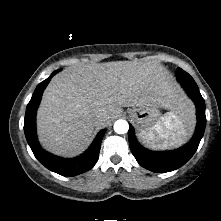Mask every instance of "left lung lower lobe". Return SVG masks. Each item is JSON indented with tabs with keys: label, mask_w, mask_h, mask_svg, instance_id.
<instances>
[{
	"label": "left lung lower lobe",
	"mask_w": 221,
	"mask_h": 221,
	"mask_svg": "<svg viewBox=\"0 0 221 221\" xmlns=\"http://www.w3.org/2000/svg\"><path fill=\"white\" fill-rule=\"evenodd\" d=\"M188 96L196 105L197 125L192 139L183 147L174 151L154 152L142 147L135 138L134 129L130 125L128 137L132 154L137 162L144 168L157 172H170L184 165L196 152L200 140L203 137L206 116L205 102L202 98L198 86L195 84L181 83Z\"/></svg>",
	"instance_id": "1"
}]
</instances>
